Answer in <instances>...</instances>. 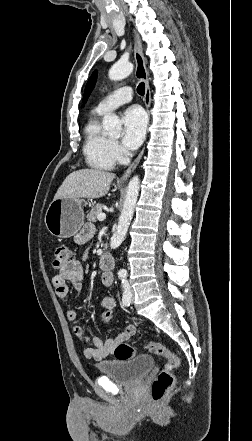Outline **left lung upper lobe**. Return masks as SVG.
Here are the masks:
<instances>
[{"label": "left lung upper lobe", "mask_w": 252, "mask_h": 441, "mask_svg": "<svg viewBox=\"0 0 252 441\" xmlns=\"http://www.w3.org/2000/svg\"><path fill=\"white\" fill-rule=\"evenodd\" d=\"M95 82H96V71L91 75V77L89 78L86 84L84 96H83V103H86L92 89L94 88Z\"/></svg>", "instance_id": "obj_1"}]
</instances>
